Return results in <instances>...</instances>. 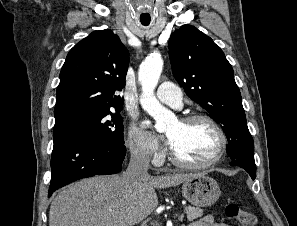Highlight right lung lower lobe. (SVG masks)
Segmentation results:
<instances>
[{"instance_id": "98d812e1", "label": "right lung lower lobe", "mask_w": 297, "mask_h": 226, "mask_svg": "<svg viewBox=\"0 0 297 226\" xmlns=\"http://www.w3.org/2000/svg\"><path fill=\"white\" fill-rule=\"evenodd\" d=\"M53 140L48 197L78 179L114 174L122 169L126 155L124 144H114L75 130L54 132Z\"/></svg>"}]
</instances>
